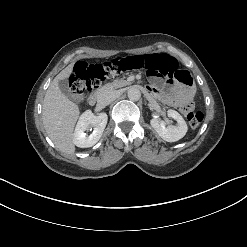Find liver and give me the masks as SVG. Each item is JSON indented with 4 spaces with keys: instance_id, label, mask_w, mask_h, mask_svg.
Wrapping results in <instances>:
<instances>
[{
    "instance_id": "6515ba94",
    "label": "liver",
    "mask_w": 247,
    "mask_h": 247,
    "mask_svg": "<svg viewBox=\"0 0 247 247\" xmlns=\"http://www.w3.org/2000/svg\"><path fill=\"white\" fill-rule=\"evenodd\" d=\"M74 63L68 65L52 81L46 91L42 119L44 128L55 146L63 153L74 154L73 131L80 111L60 90L58 82L70 76Z\"/></svg>"
}]
</instances>
